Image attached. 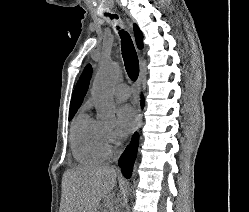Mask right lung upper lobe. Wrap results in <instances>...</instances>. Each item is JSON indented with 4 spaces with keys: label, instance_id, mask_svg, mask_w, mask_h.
Wrapping results in <instances>:
<instances>
[{
    "label": "right lung upper lobe",
    "instance_id": "1",
    "mask_svg": "<svg viewBox=\"0 0 249 212\" xmlns=\"http://www.w3.org/2000/svg\"><path fill=\"white\" fill-rule=\"evenodd\" d=\"M134 32L136 37V42L139 48L143 47V34L139 30V28L134 25ZM92 76V67L91 65H87L76 85V88L73 92V96L71 99L70 110H78L81 106L83 99L87 93L90 79Z\"/></svg>",
    "mask_w": 249,
    "mask_h": 212
}]
</instances>
